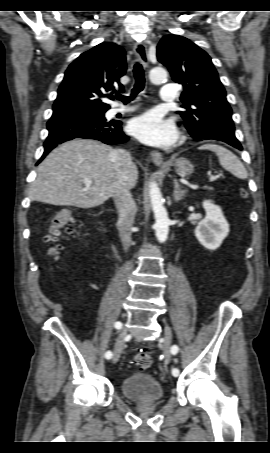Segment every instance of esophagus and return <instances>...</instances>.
Wrapping results in <instances>:
<instances>
[{
	"instance_id": "34e87169",
	"label": "esophagus",
	"mask_w": 270,
	"mask_h": 453,
	"mask_svg": "<svg viewBox=\"0 0 270 453\" xmlns=\"http://www.w3.org/2000/svg\"><path fill=\"white\" fill-rule=\"evenodd\" d=\"M134 52H135L137 58L139 59V61L142 63V65L146 67L149 63V60H148V53H147V48H146L145 44L142 42L136 43L134 45ZM150 157H151L152 162L155 165H157V166L164 165L163 157L160 152L152 151L150 153Z\"/></svg>"
}]
</instances>
